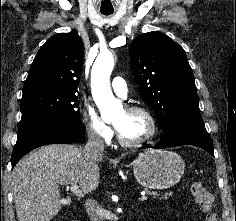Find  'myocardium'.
<instances>
[{
    "instance_id": "myocardium-1",
    "label": "myocardium",
    "mask_w": 236,
    "mask_h": 221,
    "mask_svg": "<svg viewBox=\"0 0 236 221\" xmlns=\"http://www.w3.org/2000/svg\"><path fill=\"white\" fill-rule=\"evenodd\" d=\"M125 110L130 113L143 114L149 121L150 130H149V133L144 138L135 140V141H128L120 135L119 131L115 127L118 142L125 147H140L151 142L156 137L159 131V125L153 112L147 107L140 106V105L127 106Z\"/></svg>"
}]
</instances>
